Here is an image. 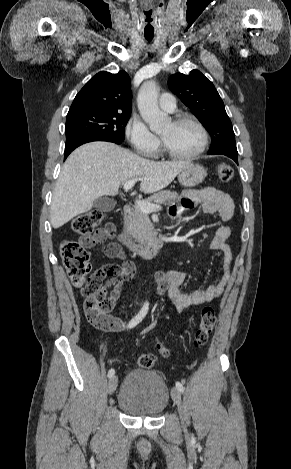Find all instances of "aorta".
Instances as JSON below:
<instances>
[{"mask_svg":"<svg viewBox=\"0 0 291 469\" xmlns=\"http://www.w3.org/2000/svg\"><path fill=\"white\" fill-rule=\"evenodd\" d=\"M137 104L143 120L154 131H160L170 123L169 116L158 107V88L154 81H147L141 86Z\"/></svg>","mask_w":291,"mask_h":469,"instance_id":"aorta-1","label":"aorta"}]
</instances>
